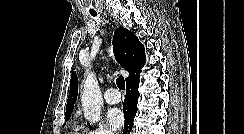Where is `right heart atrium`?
<instances>
[{"label":"right heart atrium","instance_id":"d8ad5b80","mask_svg":"<svg viewBox=\"0 0 244 134\" xmlns=\"http://www.w3.org/2000/svg\"><path fill=\"white\" fill-rule=\"evenodd\" d=\"M88 134H113V132L103 124H99L88 131Z\"/></svg>","mask_w":244,"mask_h":134}]
</instances>
